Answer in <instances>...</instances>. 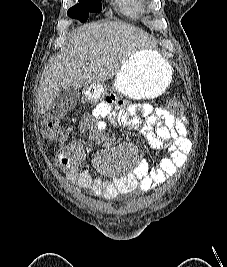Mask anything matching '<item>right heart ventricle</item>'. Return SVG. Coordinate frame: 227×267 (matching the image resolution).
Here are the masks:
<instances>
[{
    "label": "right heart ventricle",
    "instance_id": "1",
    "mask_svg": "<svg viewBox=\"0 0 227 267\" xmlns=\"http://www.w3.org/2000/svg\"><path fill=\"white\" fill-rule=\"evenodd\" d=\"M117 8L129 17H136L145 11L142 0H115Z\"/></svg>",
    "mask_w": 227,
    "mask_h": 267
}]
</instances>
